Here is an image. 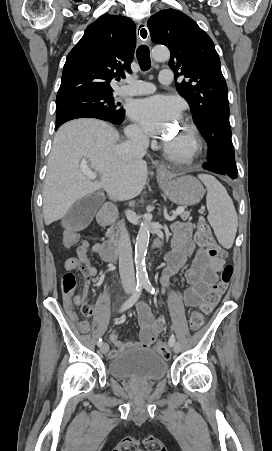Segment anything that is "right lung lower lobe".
I'll use <instances>...</instances> for the list:
<instances>
[{"label": "right lung lower lobe", "mask_w": 272, "mask_h": 451, "mask_svg": "<svg viewBox=\"0 0 272 451\" xmlns=\"http://www.w3.org/2000/svg\"><path fill=\"white\" fill-rule=\"evenodd\" d=\"M85 117H89V118H97V119L105 120V121H108V122H110V123H112V124H116V125L122 123L123 120H124V119H123V120H121V121H119V122H111V121H109V120H107V119H105V118H102V117L91 116V115H76V116L69 117V118H67V119H65V120H62V121H60V122H56L55 130H57L58 127H59L60 125H62L63 123H65V122H67V121H69V120L77 119V118H85Z\"/></svg>", "instance_id": "98d812e1"}]
</instances>
